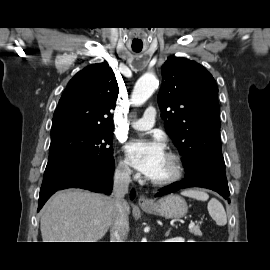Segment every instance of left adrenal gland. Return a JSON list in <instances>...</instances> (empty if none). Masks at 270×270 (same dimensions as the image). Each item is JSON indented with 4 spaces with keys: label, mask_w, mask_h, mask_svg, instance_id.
<instances>
[{
    "label": "left adrenal gland",
    "mask_w": 270,
    "mask_h": 270,
    "mask_svg": "<svg viewBox=\"0 0 270 270\" xmlns=\"http://www.w3.org/2000/svg\"><path fill=\"white\" fill-rule=\"evenodd\" d=\"M169 232H170V229L166 232V236L169 234Z\"/></svg>",
    "instance_id": "left-adrenal-gland-1"
}]
</instances>
